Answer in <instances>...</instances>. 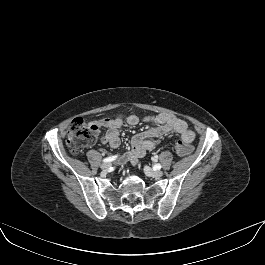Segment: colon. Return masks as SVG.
Here are the masks:
<instances>
[{"label": "colon", "instance_id": "obj_1", "mask_svg": "<svg viewBox=\"0 0 265 265\" xmlns=\"http://www.w3.org/2000/svg\"><path fill=\"white\" fill-rule=\"evenodd\" d=\"M98 138V128L94 124L86 123L81 118H75L69 127L67 145L72 154L81 153L86 147L94 144ZM179 155L185 156L192 152V146L179 140L175 144Z\"/></svg>", "mask_w": 265, "mask_h": 265}]
</instances>
